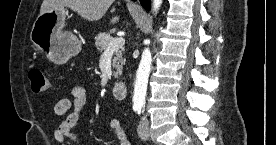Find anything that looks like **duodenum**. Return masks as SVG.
<instances>
[{
  "instance_id": "1",
  "label": "duodenum",
  "mask_w": 276,
  "mask_h": 145,
  "mask_svg": "<svg viewBox=\"0 0 276 145\" xmlns=\"http://www.w3.org/2000/svg\"><path fill=\"white\" fill-rule=\"evenodd\" d=\"M113 95L118 100H123L127 96V85L125 82L119 81L113 85Z\"/></svg>"
}]
</instances>
